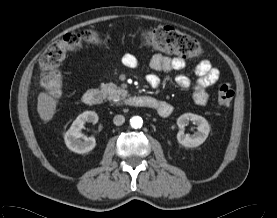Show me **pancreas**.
Here are the masks:
<instances>
[{
    "label": "pancreas",
    "instance_id": "pancreas-1",
    "mask_svg": "<svg viewBox=\"0 0 277 218\" xmlns=\"http://www.w3.org/2000/svg\"><path fill=\"white\" fill-rule=\"evenodd\" d=\"M100 88L109 100L117 101L128 96L127 90H125L124 88H120L116 84L111 82L106 84L102 83Z\"/></svg>",
    "mask_w": 277,
    "mask_h": 218
}]
</instances>
